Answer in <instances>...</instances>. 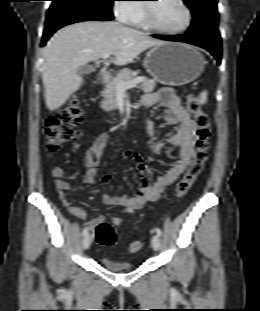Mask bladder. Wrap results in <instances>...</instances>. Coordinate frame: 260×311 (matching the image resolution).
<instances>
[{"label": "bladder", "mask_w": 260, "mask_h": 311, "mask_svg": "<svg viewBox=\"0 0 260 311\" xmlns=\"http://www.w3.org/2000/svg\"><path fill=\"white\" fill-rule=\"evenodd\" d=\"M97 258L99 263L109 270L123 271L132 270L135 268V265L133 263L115 260L106 255L105 253H100Z\"/></svg>", "instance_id": "31cf9c89"}]
</instances>
